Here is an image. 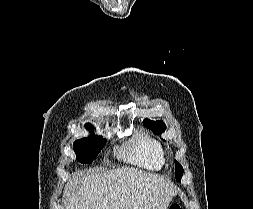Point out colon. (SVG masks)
<instances>
[{
    "label": "colon",
    "mask_w": 253,
    "mask_h": 209,
    "mask_svg": "<svg viewBox=\"0 0 253 209\" xmlns=\"http://www.w3.org/2000/svg\"><path fill=\"white\" fill-rule=\"evenodd\" d=\"M169 209H181V208L178 204H173V205L170 206Z\"/></svg>",
    "instance_id": "5ec220e1"
}]
</instances>
